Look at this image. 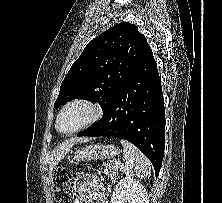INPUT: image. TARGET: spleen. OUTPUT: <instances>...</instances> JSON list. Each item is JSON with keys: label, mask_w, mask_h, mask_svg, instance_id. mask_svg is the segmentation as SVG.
Returning a JSON list of instances; mask_svg holds the SVG:
<instances>
[{"label": "spleen", "mask_w": 222, "mask_h": 203, "mask_svg": "<svg viewBox=\"0 0 222 203\" xmlns=\"http://www.w3.org/2000/svg\"><path fill=\"white\" fill-rule=\"evenodd\" d=\"M123 146V160L126 165L123 172L127 176L137 178H147L151 175V163L148 158L133 144L126 140H121Z\"/></svg>", "instance_id": "spleen-1"}]
</instances>
